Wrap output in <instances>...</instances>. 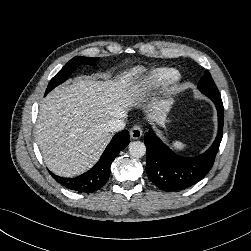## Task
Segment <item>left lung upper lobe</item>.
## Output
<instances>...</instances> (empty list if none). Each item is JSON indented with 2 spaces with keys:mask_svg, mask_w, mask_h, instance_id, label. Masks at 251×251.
Instances as JSON below:
<instances>
[{
  "mask_svg": "<svg viewBox=\"0 0 251 251\" xmlns=\"http://www.w3.org/2000/svg\"><path fill=\"white\" fill-rule=\"evenodd\" d=\"M198 89L209 98L220 97V93L217 89V86L208 71L205 72L204 76L200 80L198 84Z\"/></svg>",
  "mask_w": 251,
  "mask_h": 251,
  "instance_id": "obj_1",
  "label": "left lung upper lobe"
}]
</instances>
